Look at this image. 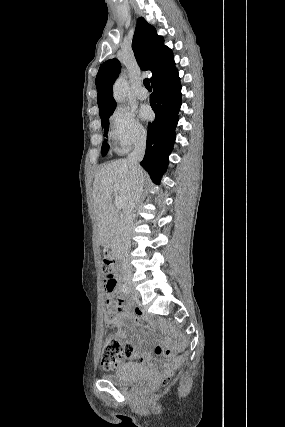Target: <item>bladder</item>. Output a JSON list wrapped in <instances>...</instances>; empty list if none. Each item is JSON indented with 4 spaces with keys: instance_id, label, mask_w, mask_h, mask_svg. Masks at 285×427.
Returning <instances> with one entry per match:
<instances>
[{
    "instance_id": "obj_1",
    "label": "bladder",
    "mask_w": 285,
    "mask_h": 427,
    "mask_svg": "<svg viewBox=\"0 0 285 427\" xmlns=\"http://www.w3.org/2000/svg\"><path fill=\"white\" fill-rule=\"evenodd\" d=\"M152 377V371L137 363H122L113 372L103 373L102 378L115 384L135 385Z\"/></svg>"
}]
</instances>
